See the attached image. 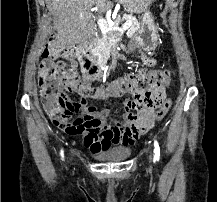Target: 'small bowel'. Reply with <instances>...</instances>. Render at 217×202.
I'll use <instances>...</instances> for the list:
<instances>
[{
    "mask_svg": "<svg viewBox=\"0 0 217 202\" xmlns=\"http://www.w3.org/2000/svg\"><path fill=\"white\" fill-rule=\"evenodd\" d=\"M144 63L148 66H151L154 61L152 59H144ZM65 82H69L70 86L77 89L78 93L81 95L82 100L94 99V100H107L110 98H121L126 93L121 86V80L115 81L108 85H89V84H80L78 80H75L74 76L67 75ZM85 90H89V94L86 95ZM133 105L135 102L131 99H126L124 101V118L126 122H136V123H145L147 121H130V116H152L154 114H146V110H137L136 113H133ZM92 115L96 117H101L104 115L103 112H97L94 110L91 112ZM142 131L139 133L134 132L130 127L125 128L122 132L115 134L113 128L110 126L101 127V131H82V136L85 141H110V142H83V147H113V145L130 147L138 139ZM100 152V151H99Z\"/></svg>",
    "mask_w": 217,
    "mask_h": 202,
    "instance_id": "1",
    "label": "small bowel"
}]
</instances>
